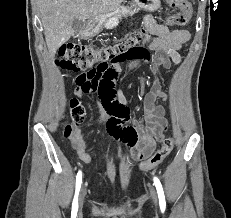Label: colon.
Instances as JSON below:
<instances>
[{"instance_id": "obj_1", "label": "colon", "mask_w": 231, "mask_h": 218, "mask_svg": "<svg viewBox=\"0 0 231 218\" xmlns=\"http://www.w3.org/2000/svg\"><path fill=\"white\" fill-rule=\"evenodd\" d=\"M166 3L179 11L173 14L169 22L172 25L185 26L188 24L192 7L187 0H165ZM144 30H137L129 37L114 45L92 47L76 43H67L61 46L57 64L67 70L81 71L82 69H93L94 66H100L109 60H116V56L125 58L126 56H142L150 58L149 52L137 44L142 40ZM85 109L77 99H72L69 104V110L65 117L64 135L73 136L75 130L85 119ZM173 142L166 139L160 149L149 155L139 165L141 170H150L160 164L171 152Z\"/></svg>"}]
</instances>
